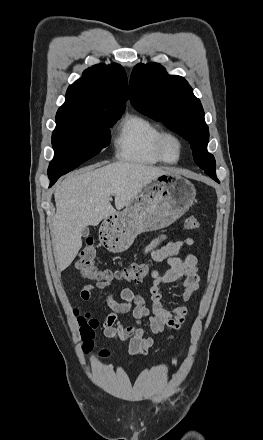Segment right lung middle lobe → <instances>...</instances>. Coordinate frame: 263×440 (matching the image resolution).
Masks as SVG:
<instances>
[{
	"instance_id": "1",
	"label": "right lung middle lobe",
	"mask_w": 263,
	"mask_h": 440,
	"mask_svg": "<svg viewBox=\"0 0 263 440\" xmlns=\"http://www.w3.org/2000/svg\"><path fill=\"white\" fill-rule=\"evenodd\" d=\"M121 114L101 113L78 120L57 121L52 134L54 158L48 168L50 181L97 155L110 142L109 127Z\"/></svg>"
}]
</instances>
